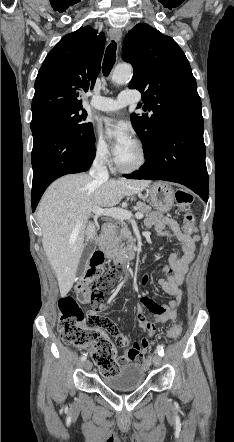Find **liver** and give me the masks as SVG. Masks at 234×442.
<instances>
[{
    "mask_svg": "<svg viewBox=\"0 0 234 442\" xmlns=\"http://www.w3.org/2000/svg\"><path fill=\"white\" fill-rule=\"evenodd\" d=\"M149 184L148 180L104 181L88 174H71L49 186L38 205L37 220L61 297L73 286L85 242L95 238V225L88 221L93 208L115 206L124 196L140 193Z\"/></svg>",
    "mask_w": 234,
    "mask_h": 442,
    "instance_id": "liver-1",
    "label": "liver"
}]
</instances>
